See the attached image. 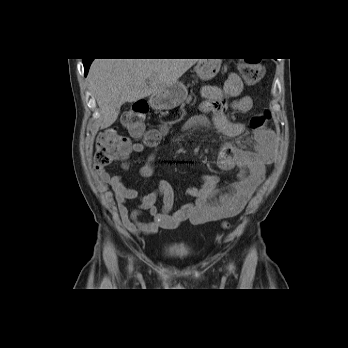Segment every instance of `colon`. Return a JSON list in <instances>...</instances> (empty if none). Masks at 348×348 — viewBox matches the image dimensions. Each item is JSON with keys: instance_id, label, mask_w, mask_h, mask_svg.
<instances>
[{"instance_id": "obj_1", "label": "colon", "mask_w": 348, "mask_h": 348, "mask_svg": "<svg viewBox=\"0 0 348 348\" xmlns=\"http://www.w3.org/2000/svg\"><path fill=\"white\" fill-rule=\"evenodd\" d=\"M240 73L248 84H257L264 75V65L258 58L242 59ZM148 113V104L145 101L135 102L122 116V125L135 138H142L147 144H156L164 135L165 127L154 128L146 131L145 117ZM269 121L267 113L254 115L250 119V126L254 129L263 128ZM131 140L120 134L116 129H107L102 132L97 141L95 163L105 167L113 161L123 160L131 150Z\"/></svg>"}]
</instances>
